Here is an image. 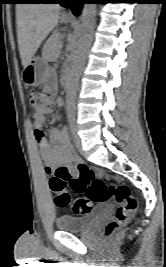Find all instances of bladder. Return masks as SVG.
<instances>
[{
	"label": "bladder",
	"instance_id": "31cf9c89",
	"mask_svg": "<svg viewBox=\"0 0 166 267\" xmlns=\"http://www.w3.org/2000/svg\"><path fill=\"white\" fill-rule=\"evenodd\" d=\"M95 223L93 216L75 217L63 215L56 219V227L61 231L67 232H84Z\"/></svg>",
	"mask_w": 166,
	"mask_h": 267
}]
</instances>
